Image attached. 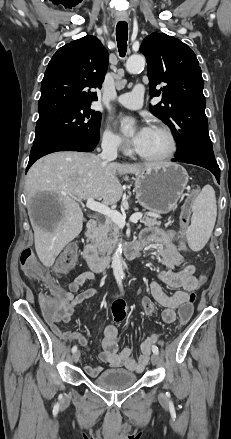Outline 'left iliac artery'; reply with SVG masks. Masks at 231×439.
I'll return each instance as SVG.
<instances>
[{"instance_id": "obj_1", "label": "left iliac artery", "mask_w": 231, "mask_h": 439, "mask_svg": "<svg viewBox=\"0 0 231 439\" xmlns=\"http://www.w3.org/2000/svg\"><path fill=\"white\" fill-rule=\"evenodd\" d=\"M152 351H153V353H155V354H159V349H158V347L155 346V345L152 347Z\"/></svg>"}]
</instances>
